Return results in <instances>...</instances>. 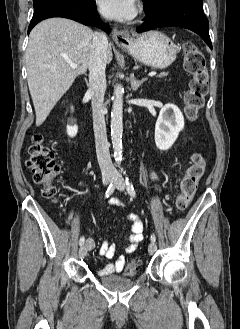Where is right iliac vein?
<instances>
[{"mask_svg":"<svg viewBox=\"0 0 240 329\" xmlns=\"http://www.w3.org/2000/svg\"><path fill=\"white\" fill-rule=\"evenodd\" d=\"M112 177L111 176H104L103 177V183L107 185L111 181ZM87 248L85 245H82L79 249V256L80 258H84L87 254Z\"/></svg>","mask_w":240,"mask_h":329,"instance_id":"right-iliac-vein-1","label":"right iliac vein"}]
</instances>
